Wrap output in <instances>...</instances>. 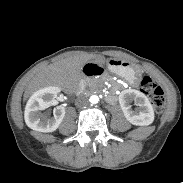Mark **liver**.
Returning <instances> with one entry per match:
<instances>
[{
    "label": "liver",
    "instance_id": "6515ba94",
    "mask_svg": "<svg viewBox=\"0 0 183 183\" xmlns=\"http://www.w3.org/2000/svg\"><path fill=\"white\" fill-rule=\"evenodd\" d=\"M91 59L88 54L69 57L51 64L45 71L34 79L29 85L26 95H30L37 89L50 86H66L76 83L81 77V70L85 63Z\"/></svg>",
    "mask_w": 183,
    "mask_h": 183
}]
</instances>
